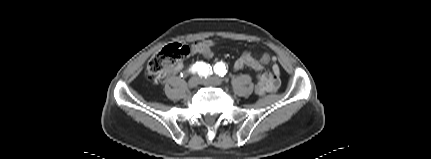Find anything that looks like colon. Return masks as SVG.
Wrapping results in <instances>:
<instances>
[{
  "label": "colon",
  "mask_w": 431,
  "mask_h": 159,
  "mask_svg": "<svg viewBox=\"0 0 431 159\" xmlns=\"http://www.w3.org/2000/svg\"><path fill=\"white\" fill-rule=\"evenodd\" d=\"M193 52L188 46L173 43L165 46L160 51L155 53L149 60L146 68V76L153 82H158L176 63L184 60ZM195 55H201V60L207 63L210 60L208 55H214L215 49L206 46H198L194 49ZM260 88L259 83H252V90L254 96H258V90Z\"/></svg>",
  "instance_id": "1"
}]
</instances>
